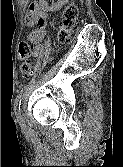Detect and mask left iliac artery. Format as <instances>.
<instances>
[{
    "instance_id": "left-iliac-artery-1",
    "label": "left iliac artery",
    "mask_w": 123,
    "mask_h": 167,
    "mask_svg": "<svg viewBox=\"0 0 123 167\" xmlns=\"http://www.w3.org/2000/svg\"><path fill=\"white\" fill-rule=\"evenodd\" d=\"M21 101H22V94H19L14 102V112L16 115H20L21 113Z\"/></svg>"
}]
</instances>
